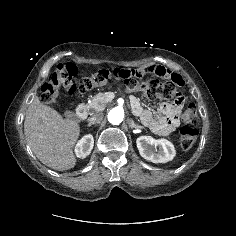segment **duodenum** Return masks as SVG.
Returning <instances> with one entry per match:
<instances>
[{"label":"duodenum","instance_id":"duodenum-1","mask_svg":"<svg viewBox=\"0 0 236 236\" xmlns=\"http://www.w3.org/2000/svg\"><path fill=\"white\" fill-rule=\"evenodd\" d=\"M76 113L81 120H86L88 117V107L85 103L81 102L76 106Z\"/></svg>","mask_w":236,"mask_h":236}]
</instances>
